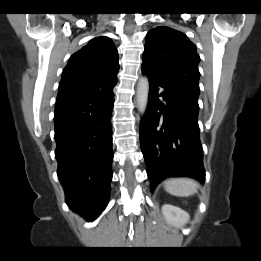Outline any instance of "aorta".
Returning <instances> with one entry per match:
<instances>
[{
    "label": "aorta",
    "mask_w": 261,
    "mask_h": 261,
    "mask_svg": "<svg viewBox=\"0 0 261 261\" xmlns=\"http://www.w3.org/2000/svg\"><path fill=\"white\" fill-rule=\"evenodd\" d=\"M149 80L141 77L137 84V106L141 113H145L148 104Z\"/></svg>",
    "instance_id": "1"
}]
</instances>
